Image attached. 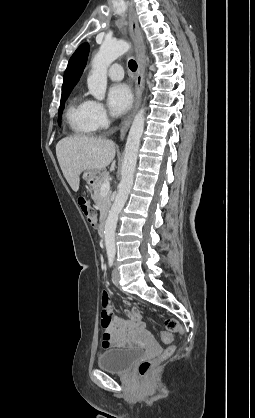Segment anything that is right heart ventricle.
Returning <instances> with one entry per match:
<instances>
[{"instance_id":"obj_1","label":"right heart ventricle","mask_w":255,"mask_h":418,"mask_svg":"<svg viewBox=\"0 0 255 418\" xmlns=\"http://www.w3.org/2000/svg\"><path fill=\"white\" fill-rule=\"evenodd\" d=\"M91 101L82 94L72 96L67 110L66 119L73 133L77 135H90L95 131L90 114Z\"/></svg>"}]
</instances>
